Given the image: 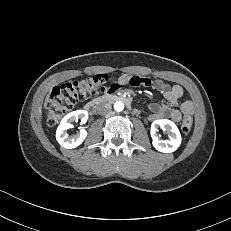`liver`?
Wrapping results in <instances>:
<instances>
[{
    "instance_id": "liver-1",
    "label": "liver",
    "mask_w": 231,
    "mask_h": 231,
    "mask_svg": "<svg viewBox=\"0 0 231 231\" xmlns=\"http://www.w3.org/2000/svg\"><path fill=\"white\" fill-rule=\"evenodd\" d=\"M48 99H49V95L46 97L45 104H44L45 107H46V105H47Z\"/></svg>"
}]
</instances>
